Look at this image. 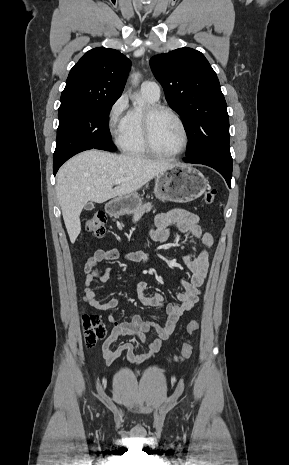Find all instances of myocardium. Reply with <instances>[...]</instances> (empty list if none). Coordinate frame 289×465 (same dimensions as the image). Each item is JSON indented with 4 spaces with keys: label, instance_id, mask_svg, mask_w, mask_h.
I'll return each mask as SVG.
<instances>
[{
    "label": "myocardium",
    "instance_id": "obj_1",
    "mask_svg": "<svg viewBox=\"0 0 289 465\" xmlns=\"http://www.w3.org/2000/svg\"><path fill=\"white\" fill-rule=\"evenodd\" d=\"M160 113H168L179 123L184 136L182 147L174 153H163L157 149L153 140V120ZM143 139L150 154L160 158H175L182 155L188 148L190 135L183 118L173 108L165 105L153 104L149 106L143 114Z\"/></svg>",
    "mask_w": 289,
    "mask_h": 465
}]
</instances>
